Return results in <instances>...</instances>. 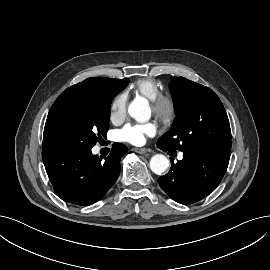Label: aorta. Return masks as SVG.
I'll return each mask as SVG.
<instances>
[{
	"label": "aorta",
	"mask_w": 270,
	"mask_h": 270,
	"mask_svg": "<svg viewBox=\"0 0 270 270\" xmlns=\"http://www.w3.org/2000/svg\"><path fill=\"white\" fill-rule=\"evenodd\" d=\"M129 115L138 122H146L150 118L148 101L145 98H135L128 107ZM169 167V160L162 154L154 155L150 160V169L153 173L161 175Z\"/></svg>",
	"instance_id": "obj_1"
}]
</instances>
